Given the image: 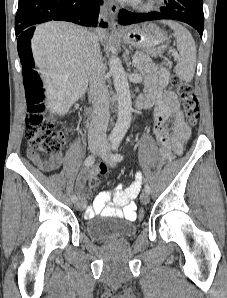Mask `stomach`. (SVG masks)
<instances>
[{
  "label": "stomach",
  "mask_w": 227,
  "mask_h": 298,
  "mask_svg": "<svg viewBox=\"0 0 227 298\" xmlns=\"http://www.w3.org/2000/svg\"><path fill=\"white\" fill-rule=\"evenodd\" d=\"M121 37L127 45L153 57L162 54L169 45V38L166 33L153 23L130 27Z\"/></svg>",
  "instance_id": "0dacf381"
}]
</instances>
